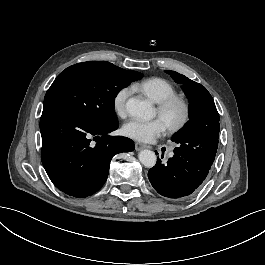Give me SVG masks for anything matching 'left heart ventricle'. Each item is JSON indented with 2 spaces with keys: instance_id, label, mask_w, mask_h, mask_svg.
<instances>
[{
  "instance_id": "b2bd125f",
  "label": "left heart ventricle",
  "mask_w": 265,
  "mask_h": 265,
  "mask_svg": "<svg viewBox=\"0 0 265 265\" xmlns=\"http://www.w3.org/2000/svg\"><path fill=\"white\" fill-rule=\"evenodd\" d=\"M180 116V111L178 108H174L170 111V113L168 114V121L174 123L179 119Z\"/></svg>"
}]
</instances>
